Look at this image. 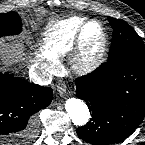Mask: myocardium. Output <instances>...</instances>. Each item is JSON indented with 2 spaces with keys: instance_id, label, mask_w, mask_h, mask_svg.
<instances>
[{
  "instance_id": "myocardium-1",
  "label": "myocardium",
  "mask_w": 145,
  "mask_h": 145,
  "mask_svg": "<svg viewBox=\"0 0 145 145\" xmlns=\"http://www.w3.org/2000/svg\"><path fill=\"white\" fill-rule=\"evenodd\" d=\"M96 24L102 35L100 47L94 57L88 58L84 49V33L86 28ZM108 51V34L104 25L98 20H86L78 29L73 49L70 53L69 62L71 70L78 75L89 74L98 69L106 57Z\"/></svg>"
}]
</instances>
